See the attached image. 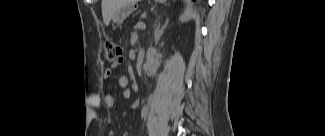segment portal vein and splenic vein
Segmentation results:
<instances>
[{
  "label": "portal vein and splenic vein",
  "mask_w": 325,
  "mask_h": 136,
  "mask_svg": "<svg viewBox=\"0 0 325 136\" xmlns=\"http://www.w3.org/2000/svg\"><path fill=\"white\" fill-rule=\"evenodd\" d=\"M137 25H138L139 28H144L145 27L142 22H138Z\"/></svg>",
  "instance_id": "1"
}]
</instances>
